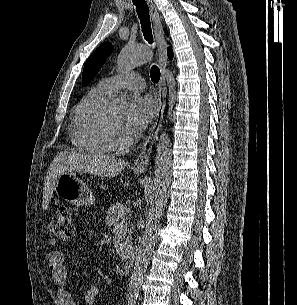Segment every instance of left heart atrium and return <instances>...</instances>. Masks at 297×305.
<instances>
[{"label":"left heart atrium","instance_id":"left-heart-atrium-1","mask_svg":"<svg viewBox=\"0 0 297 305\" xmlns=\"http://www.w3.org/2000/svg\"><path fill=\"white\" fill-rule=\"evenodd\" d=\"M156 106L149 95L135 96L129 105L123 118L122 126L129 138L141 133L151 122L155 114Z\"/></svg>","mask_w":297,"mask_h":305}]
</instances>
